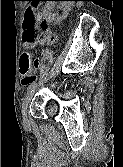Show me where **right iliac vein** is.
Masks as SVG:
<instances>
[{
	"label": "right iliac vein",
	"instance_id": "right-iliac-vein-1",
	"mask_svg": "<svg viewBox=\"0 0 123 167\" xmlns=\"http://www.w3.org/2000/svg\"><path fill=\"white\" fill-rule=\"evenodd\" d=\"M32 96H33V91L32 92H29L27 94V96L25 97L24 101H23V104H22V113L23 115L25 116L26 113H27V110H28V106H29V103L32 99Z\"/></svg>",
	"mask_w": 123,
	"mask_h": 167
}]
</instances>
